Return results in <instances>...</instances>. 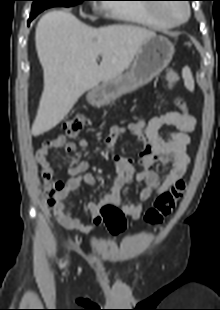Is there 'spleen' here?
I'll use <instances>...</instances> for the list:
<instances>
[{"label":"spleen","instance_id":"spleen-1","mask_svg":"<svg viewBox=\"0 0 220 310\" xmlns=\"http://www.w3.org/2000/svg\"><path fill=\"white\" fill-rule=\"evenodd\" d=\"M185 86L188 90H194V80L189 67H185L182 72Z\"/></svg>","mask_w":220,"mask_h":310}]
</instances>
